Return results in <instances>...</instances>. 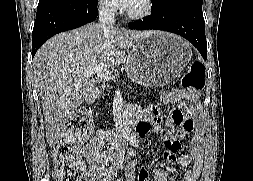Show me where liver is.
Segmentation results:
<instances>
[{
    "mask_svg": "<svg viewBox=\"0 0 253 181\" xmlns=\"http://www.w3.org/2000/svg\"><path fill=\"white\" fill-rule=\"evenodd\" d=\"M153 31L119 29L90 23L49 39L35 54L33 81L41 98L46 140L52 145L65 123L94 94L89 65L113 68L126 61L125 50Z\"/></svg>",
    "mask_w": 253,
    "mask_h": 181,
    "instance_id": "liver-1",
    "label": "liver"
}]
</instances>
